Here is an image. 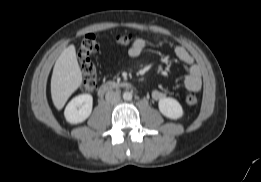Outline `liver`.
I'll return each instance as SVG.
<instances>
[{"instance_id":"obj_1","label":"liver","mask_w":261,"mask_h":182,"mask_svg":"<svg viewBox=\"0 0 261 182\" xmlns=\"http://www.w3.org/2000/svg\"><path fill=\"white\" fill-rule=\"evenodd\" d=\"M82 83V73L74 45L65 48L55 62L51 78V97L61 110Z\"/></svg>"}]
</instances>
